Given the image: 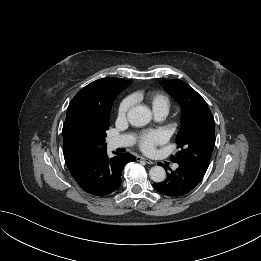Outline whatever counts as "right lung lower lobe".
<instances>
[{
	"mask_svg": "<svg viewBox=\"0 0 261 261\" xmlns=\"http://www.w3.org/2000/svg\"><path fill=\"white\" fill-rule=\"evenodd\" d=\"M135 160L129 153L108 158L107 150H103L71 174L84 191L95 196H104L120 187L121 171L125 164Z\"/></svg>",
	"mask_w": 261,
	"mask_h": 261,
	"instance_id": "1",
	"label": "right lung lower lobe"
}]
</instances>
